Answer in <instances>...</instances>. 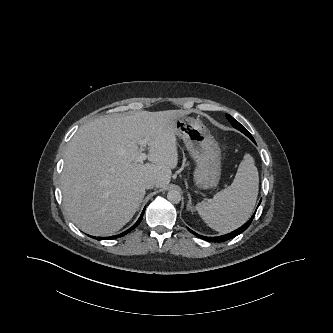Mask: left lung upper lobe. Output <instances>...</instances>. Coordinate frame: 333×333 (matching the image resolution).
Returning <instances> with one entry per match:
<instances>
[{
    "instance_id": "5c2ea615",
    "label": "left lung upper lobe",
    "mask_w": 333,
    "mask_h": 333,
    "mask_svg": "<svg viewBox=\"0 0 333 333\" xmlns=\"http://www.w3.org/2000/svg\"><path fill=\"white\" fill-rule=\"evenodd\" d=\"M226 117L234 128L238 129L239 131L244 133L247 137H249L252 141H254L252 135L238 121H236L233 117H231L228 114L226 115Z\"/></svg>"
}]
</instances>
